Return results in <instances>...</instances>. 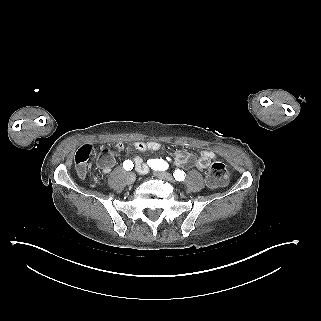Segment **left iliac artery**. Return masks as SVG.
<instances>
[{
    "label": "left iliac artery",
    "mask_w": 321,
    "mask_h": 321,
    "mask_svg": "<svg viewBox=\"0 0 321 321\" xmlns=\"http://www.w3.org/2000/svg\"><path fill=\"white\" fill-rule=\"evenodd\" d=\"M149 166L154 170H166L168 168L167 162L161 160V159H151L147 162ZM174 178L177 181H183L185 179V173L181 170H175L173 173Z\"/></svg>",
    "instance_id": "left-iliac-artery-1"
}]
</instances>
